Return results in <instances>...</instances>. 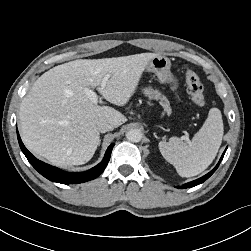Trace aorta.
I'll return each mask as SVG.
<instances>
[{"instance_id":"obj_1","label":"aorta","mask_w":251,"mask_h":251,"mask_svg":"<svg viewBox=\"0 0 251 251\" xmlns=\"http://www.w3.org/2000/svg\"><path fill=\"white\" fill-rule=\"evenodd\" d=\"M126 138L130 141V142H139L142 139V132L139 129H130L127 133H126Z\"/></svg>"}]
</instances>
